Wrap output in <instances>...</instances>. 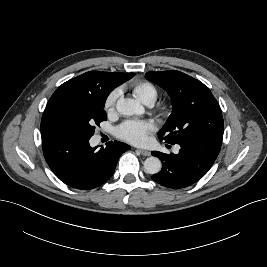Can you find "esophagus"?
<instances>
[{
	"label": "esophagus",
	"mask_w": 267,
	"mask_h": 267,
	"mask_svg": "<svg viewBox=\"0 0 267 267\" xmlns=\"http://www.w3.org/2000/svg\"><path fill=\"white\" fill-rule=\"evenodd\" d=\"M138 151L143 155V156H150V151L144 150V149H138Z\"/></svg>",
	"instance_id": "1"
}]
</instances>
